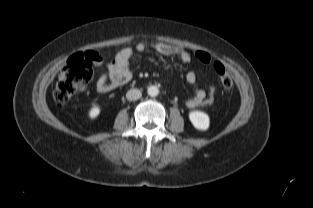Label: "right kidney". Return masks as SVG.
<instances>
[{"mask_svg":"<svg viewBox=\"0 0 313 208\" xmlns=\"http://www.w3.org/2000/svg\"><path fill=\"white\" fill-rule=\"evenodd\" d=\"M100 114V108L97 106H94L89 111V117L91 119H95Z\"/></svg>","mask_w":313,"mask_h":208,"instance_id":"right-kidney-1","label":"right kidney"}]
</instances>
